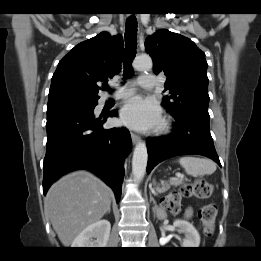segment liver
<instances>
[{"label": "liver", "mask_w": 261, "mask_h": 261, "mask_svg": "<svg viewBox=\"0 0 261 261\" xmlns=\"http://www.w3.org/2000/svg\"><path fill=\"white\" fill-rule=\"evenodd\" d=\"M111 195L104 182L86 171L70 173L51 186L45 207L64 246H69L87 226L106 214Z\"/></svg>", "instance_id": "liver-1"}]
</instances>
